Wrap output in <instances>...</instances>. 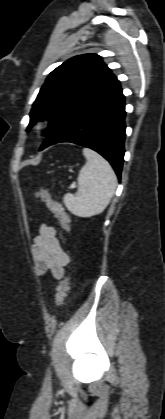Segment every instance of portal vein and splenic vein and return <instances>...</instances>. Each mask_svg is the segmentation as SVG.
I'll return each mask as SVG.
<instances>
[{
  "instance_id": "obj_1",
  "label": "portal vein and splenic vein",
  "mask_w": 165,
  "mask_h": 419,
  "mask_svg": "<svg viewBox=\"0 0 165 419\" xmlns=\"http://www.w3.org/2000/svg\"><path fill=\"white\" fill-rule=\"evenodd\" d=\"M71 188H75V185L74 184H71V186H70Z\"/></svg>"
}]
</instances>
